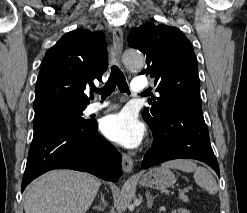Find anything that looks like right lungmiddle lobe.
Returning <instances> with one entry per match:
<instances>
[{
  "label": "right lung middle lobe",
  "mask_w": 247,
  "mask_h": 213,
  "mask_svg": "<svg viewBox=\"0 0 247 213\" xmlns=\"http://www.w3.org/2000/svg\"><path fill=\"white\" fill-rule=\"evenodd\" d=\"M86 104H80L69 100H56L35 109L33 126L42 121H66L72 124L89 125L90 121L85 120L83 111Z\"/></svg>",
  "instance_id": "1"
}]
</instances>
